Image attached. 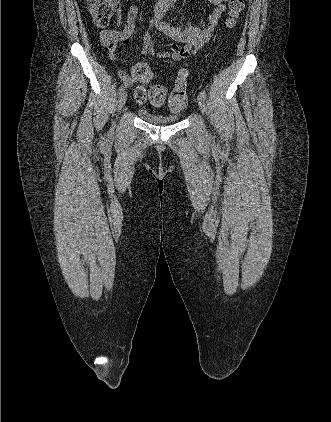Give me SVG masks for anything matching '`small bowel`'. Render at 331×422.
Masks as SVG:
<instances>
[{
	"label": "small bowel",
	"mask_w": 331,
	"mask_h": 422,
	"mask_svg": "<svg viewBox=\"0 0 331 422\" xmlns=\"http://www.w3.org/2000/svg\"><path fill=\"white\" fill-rule=\"evenodd\" d=\"M225 1L226 0H209V2L214 6V9L208 16L207 21L204 22L203 20H200L196 25L187 23L186 29L179 30L171 27L168 23L163 21L167 8L164 1L161 0L156 5L153 16L148 22V26L144 34L142 54L146 57L161 60L170 59L178 62L196 53L210 41L216 26L226 11V5L224 4ZM138 11L139 10L136 5L133 4L130 6L127 13V22L122 30L101 31V42L103 45L108 47L109 57L112 61H115L118 58L119 47L123 44L129 43L131 36L134 34ZM156 31L161 32L172 40L169 44L170 50L159 51L155 49L154 44ZM179 44L184 45L180 46ZM118 76L123 84L128 88L134 86L136 83H141L133 74L129 75L123 70L118 71ZM138 88L139 87H136V90ZM145 100L146 99L138 101L144 102ZM150 101L153 105L160 106L151 99Z\"/></svg>",
	"instance_id": "c3829d8e"
}]
</instances>
